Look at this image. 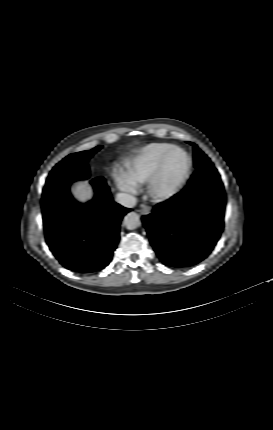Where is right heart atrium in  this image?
Returning <instances> with one entry per match:
<instances>
[{"label": "right heart atrium", "mask_w": 273, "mask_h": 430, "mask_svg": "<svg viewBox=\"0 0 273 430\" xmlns=\"http://www.w3.org/2000/svg\"><path fill=\"white\" fill-rule=\"evenodd\" d=\"M115 180L121 190L130 193H134L136 191V185L128 178L124 171H116Z\"/></svg>", "instance_id": "right-heart-atrium-1"}]
</instances>
